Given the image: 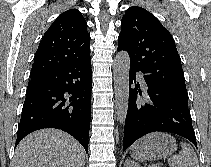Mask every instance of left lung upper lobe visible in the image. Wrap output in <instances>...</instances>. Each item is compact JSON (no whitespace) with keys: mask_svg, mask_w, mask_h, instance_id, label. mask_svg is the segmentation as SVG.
<instances>
[{"mask_svg":"<svg viewBox=\"0 0 211 167\" xmlns=\"http://www.w3.org/2000/svg\"><path fill=\"white\" fill-rule=\"evenodd\" d=\"M130 64L156 85L188 98L181 59L172 35L147 10L132 6L125 11L118 37Z\"/></svg>","mask_w":211,"mask_h":167,"instance_id":"1","label":"left lung upper lobe"}]
</instances>
